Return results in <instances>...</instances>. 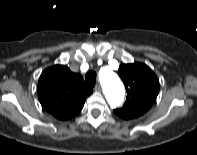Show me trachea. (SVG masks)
<instances>
[{
    "label": "trachea",
    "mask_w": 197,
    "mask_h": 155,
    "mask_svg": "<svg viewBox=\"0 0 197 155\" xmlns=\"http://www.w3.org/2000/svg\"><path fill=\"white\" fill-rule=\"evenodd\" d=\"M96 73L94 71H89L86 76H85V79H86V82L90 85V86H95V83H96Z\"/></svg>",
    "instance_id": "3493384b"
}]
</instances>
